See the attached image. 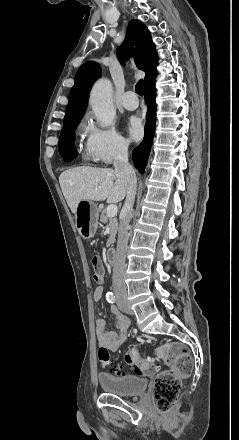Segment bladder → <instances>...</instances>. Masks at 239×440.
<instances>
[{"mask_svg": "<svg viewBox=\"0 0 239 440\" xmlns=\"http://www.w3.org/2000/svg\"><path fill=\"white\" fill-rule=\"evenodd\" d=\"M98 382L101 388L118 396H135L143 393L148 386L147 379L136 376H118L109 372H100Z\"/></svg>", "mask_w": 239, "mask_h": 440, "instance_id": "bladder-1", "label": "bladder"}]
</instances>
